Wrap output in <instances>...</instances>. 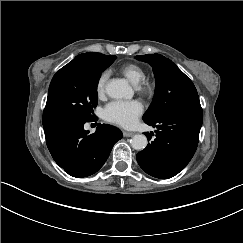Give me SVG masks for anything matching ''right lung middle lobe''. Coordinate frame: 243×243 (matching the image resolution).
<instances>
[{"label":"right lung middle lobe","instance_id":"1","mask_svg":"<svg viewBox=\"0 0 243 243\" xmlns=\"http://www.w3.org/2000/svg\"><path fill=\"white\" fill-rule=\"evenodd\" d=\"M116 56L109 55L95 67H76L59 70L53 77L43 112V126L54 121L79 117L94 119L97 106V85L101 73Z\"/></svg>","mask_w":243,"mask_h":243}]
</instances>
